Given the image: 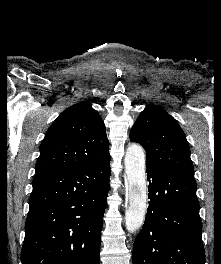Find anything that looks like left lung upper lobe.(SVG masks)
I'll return each mask as SVG.
<instances>
[{"mask_svg": "<svg viewBox=\"0 0 221 264\" xmlns=\"http://www.w3.org/2000/svg\"><path fill=\"white\" fill-rule=\"evenodd\" d=\"M130 140L146 151V165L193 177L190 148L183 130L164 109L150 105L134 123Z\"/></svg>", "mask_w": 221, "mask_h": 264, "instance_id": "5c2ea615", "label": "left lung upper lobe"}]
</instances>
